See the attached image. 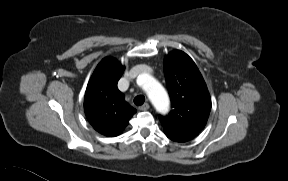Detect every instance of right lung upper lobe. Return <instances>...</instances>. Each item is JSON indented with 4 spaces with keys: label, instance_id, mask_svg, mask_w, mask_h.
Listing matches in <instances>:
<instances>
[{
    "label": "right lung upper lobe",
    "instance_id": "cb5924a9",
    "mask_svg": "<svg viewBox=\"0 0 288 181\" xmlns=\"http://www.w3.org/2000/svg\"><path fill=\"white\" fill-rule=\"evenodd\" d=\"M123 72L124 67L115 58H104L96 67L85 92L87 119L96 131L109 137L119 135L136 112L117 88Z\"/></svg>",
    "mask_w": 288,
    "mask_h": 181
}]
</instances>
